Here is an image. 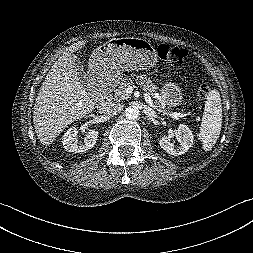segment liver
Listing matches in <instances>:
<instances>
[{
	"mask_svg": "<svg viewBox=\"0 0 253 253\" xmlns=\"http://www.w3.org/2000/svg\"><path fill=\"white\" fill-rule=\"evenodd\" d=\"M79 41L68 47L53 64L38 92L33 111L35 133L49 145L72 122L93 111L97 102L80 82L73 57L85 45Z\"/></svg>",
	"mask_w": 253,
	"mask_h": 253,
	"instance_id": "liver-1",
	"label": "liver"
}]
</instances>
